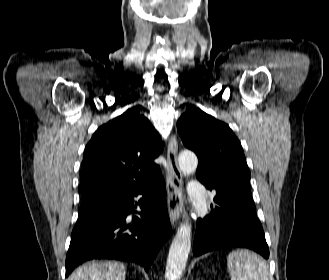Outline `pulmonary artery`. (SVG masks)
Listing matches in <instances>:
<instances>
[{
	"label": "pulmonary artery",
	"mask_w": 329,
	"mask_h": 280,
	"mask_svg": "<svg viewBox=\"0 0 329 280\" xmlns=\"http://www.w3.org/2000/svg\"><path fill=\"white\" fill-rule=\"evenodd\" d=\"M189 196L193 201H204L205 187L199 181H192L189 185Z\"/></svg>",
	"instance_id": "pulmonary-artery-1"
}]
</instances>
